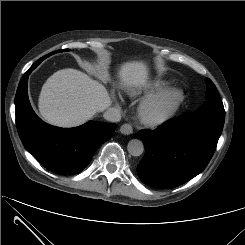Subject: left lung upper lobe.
Here are the masks:
<instances>
[{
  "label": "left lung upper lobe",
  "instance_id": "5c2ea615",
  "mask_svg": "<svg viewBox=\"0 0 245 245\" xmlns=\"http://www.w3.org/2000/svg\"><path fill=\"white\" fill-rule=\"evenodd\" d=\"M206 83V101L200 108L192 113V115L212 118L224 122L225 110L223 107V103L219 97L218 91L210 79L206 78Z\"/></svg>",
  "mask_w": 245,
  "mask_h": 245
}]
</instances>
